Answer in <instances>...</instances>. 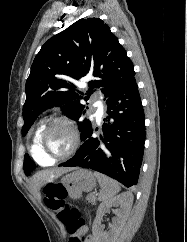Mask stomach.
I'll return each mask as SVG.
<instances>
[{
	"instance_id": "1",
	"label": "stomach",
	"mask_w": 187,
	"mask_h": 242,
	"mask_svg": "<svg viewBox=\"0 0 187 242\" xmlns=\"http://www.w3.org/2000/svg\"><path fill=\"white\" fill-rule=\"evenodd\" d=\"M60 184L72 199H77L83 192H90L96 186V179L92 172L87 169H75L65 175Z\"/></svg>"
}]
</instances>
